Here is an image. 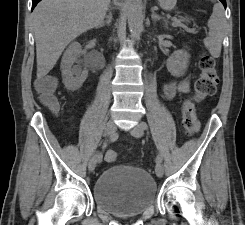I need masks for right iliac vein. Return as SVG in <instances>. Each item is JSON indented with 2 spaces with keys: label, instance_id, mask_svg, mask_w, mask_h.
Instances as JSON below:
<instances>
[{
  "label": "right iliac vein",
  "instance_id": "1",
  "mask_svg": "<svg viewBox=\"0 0 245 225\" xmlns=\"http://www.w3.org/2000/svg\"><path fill=\"white\" fill-rule=\"evenodd\" d=\"M116 124L114 123V121H108L106 123V126H105V135L106 136H112L115 132H116ZM97 156L98 154H95L92 156V158L89 160V163H88V169L89 171L93 172L95 170V167H96V164H97Z\"/></svg>",
  "mask_w": 245,
  "mask_h": 225
}]
</instances>
